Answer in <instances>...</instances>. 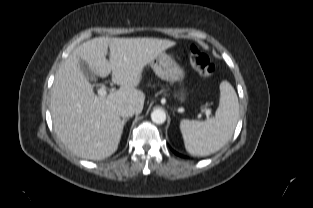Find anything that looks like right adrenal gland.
<instances>
[{"label": "right adrenal gland", "instance_id": "right-adrenal-gland-1", "mask_svg": "<svg viewBox=\"0 0 313 208\" xmlns=\"http://www.w3.org/2000/svg\"><path fill=\"white\" fill-rule=\"evenodd\" d=\"M128 120H129V118H123L121 121L122 126H124Z\"/></svg>", "mask_w": 313, "mask_h": 208}]
</instances>
